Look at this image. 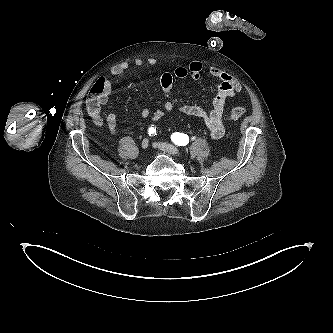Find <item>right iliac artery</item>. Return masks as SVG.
<instances>
[{
  "mask_svg": "<svg viewBox=\"0 0 333 333\" xmlns=\"http://www.w3.org/2000/svg\"><path fill=\"white\" fill-rule=\"evenodd\" d=\"M153 126V125H152ZM148 134L151 135H155L156 134V127H150L148 129Z\"/></svg>",
  "mask_w": 333,
  "mask_h": 333,
  "instance_id": "82829eb1",
  "label": "right iliac artery"
}]
</instances>
